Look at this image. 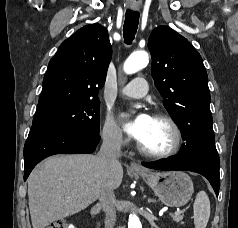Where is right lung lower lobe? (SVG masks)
Masks as SVG:
<instances>
[{"mask_svg": "<svg viewBox=\"0 0 238 228\" xmlns=\"http://www.w3.org/2000/svg\"><path fill=\"white\" fill-rule=\"evenodd\" d=\"M99 133L70 127H31L24 146L26 180L34 166L55 154L92 153Z\"/></svg>", "mask_w": 238, "mask_h": 228, "instance_id": "right-lung-lower-lobe-1", "label": "right lung lower lobe"}]
</instances>
